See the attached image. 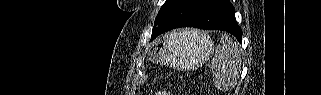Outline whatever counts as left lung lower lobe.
I'll list each match as a JSON object with an SVG mask.
<instances>
[{"label": "left lung lower lobe", "mask_w": 321, "mask_h": 95, "mask_svg": "<svg viewBox=\"0 0 321 95\" xmlns=\"http://www.w3.org/2000/svg\"><path fill=\"white\" fill-rule=\"evenodd\" d=\"M179 27L223 30L233 34L239 42L242 40V30L235 20V8L229 0H173L153 30L151 40Z\"/></svg>", "instance_id": "left-lung-lower-lobe-1"}]
</instances>
